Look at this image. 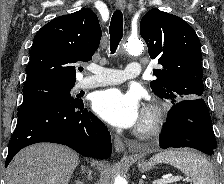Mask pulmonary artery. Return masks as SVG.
Here are the masks:
<instances>
[{"label": "pulmonary artery", "mask_w": 224, "mask_h": 184, "mask_svg": "<svg viewBox=\"0 0 224 184\" xmlns=\"http://www.w3.org/2000/svg\"><path fill=\"white\" fill-rule=\"evenodd\" d=\"M89 70L93 75L82 78L78 87L81 89H91L101 86L122 83L128 79L136 78L140 75L141 67L137 62H130L125 71L105 68L98 65L90 66Z\"/></svg>", "instance_id": "1"}]
</instances>
